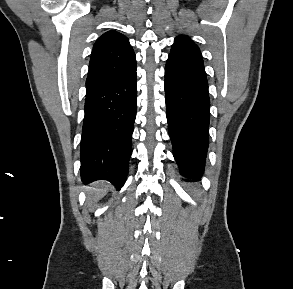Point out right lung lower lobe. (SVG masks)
I'll return each instance as SVG.
<instances>
[{"instance_id":"obj_1","label":"right lung lower lobe","mask_w":293,"mask_h":289,"mask_svg":"<svg viewBox=\"0 0 293 289\" xmlns=\"http://www.w3.org/2000/svg\"><path fill=\"white\" fill-rule=\"evenodd\" d=\"M136 74L129 80L86 95L81 138L84 184L110 181L118 190L128 173L136 118Z\"/></svg>"}]
</instances>
